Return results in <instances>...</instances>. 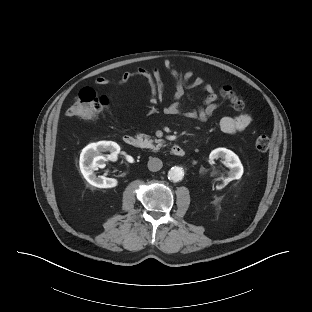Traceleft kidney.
<instances>
[{
	"instance_id": "left-kidney-1",
	"label": "left kidney",
	"mask_w": 312,
	"mask_h": 312,
	"mask_svg": "<svg viewBox=\"0 0 312 312\" xmlns=\"http://www.w3.org/2000/svg\"><path fill=\"white\" fill-rule=\"evenodd\" d=\"M210 161L215 159H223L224 164L230 168V171L226 175H222L221 179L226 185L230 181L240 179L243 175V165L239 157L231 150L226 148L214 149L209 155Z\"/></svg>"
}]
</instances>
